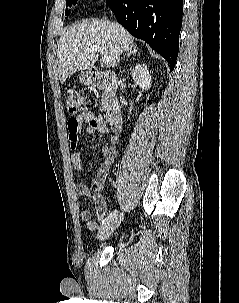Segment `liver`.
<instances>
[{
	"label": "liver",
	"mask_w": 239,
	"mask_h": 303,
	"mask_svg": "<svg viewBox=\"0 0 239 303\" xmlns=\"http://www.w3.org/2000/svg\"><path fill=\"white\" fill-rule=\"evenodd\" d=\"M91 46H104L112 66H115L119 55L131 51L135 45L128 31L108 20L92 19L70 26L58 43L57 72L61 83L73 73L94 66L98 54L86 51Z\"/></svg>",
	"instance_id": "6515ba94"
}]
</instances>
